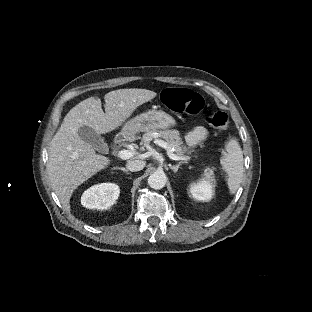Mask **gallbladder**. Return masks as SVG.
Here are the masks:
<instances>
[{"label":"gallbladder","instance_id":"gallbladder-1","mask_svg":"<svg viewBox=\"0 0 312 312\" xmlns=\"http://www.w3.org/2000/svg\"><path fill=\"white\" fill-rule=\"evenodd\" d=\"M80 137L86 143L90 144L97 152L107 155L109 154V147L101 134L88 126L81 127L78 131Z\"/></svg>","mask_w":312,"mask_h":312}]
</instances>
